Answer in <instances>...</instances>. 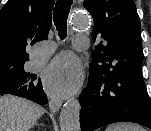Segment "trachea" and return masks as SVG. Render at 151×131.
Listing matches in <instances>:
<instances>
[{
  "instance_id": "obj_1",
  "label": "trachea",
  "mask_w": 151,
  "mask_h": 131,
  "mask_svg": "<svg viewBox=\"0 0 151 131\" xmlns=\"http://www.w3.org/2000/svg\"><path fill=\"white\" fill-rule=\"evenodd\" d=\"M73 0H57L53 11V21L61 39L67 35V18Z\"/></svg>"
}]
</instances>
